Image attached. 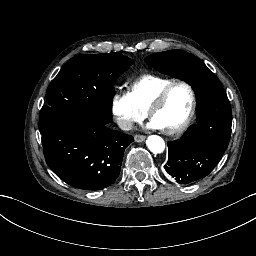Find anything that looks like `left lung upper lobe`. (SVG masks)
Segmentation results:
<instances>
[{
	"label": "left lung upper lobe",
	"mask_w": 256,
	"mask_h": 256,
	"mask_svg": "<svg viewBox=\"0 0 256 256\" xmlns=\"http://www.w3.org/2000/svg\"><path fill=\"white\" fill-rule=\"evenodd\" d=\"M145 62L159 72L189 83L197 98L198 123L179 140L169 141L165 169L175 175L207 176L218 164L231 135L232 114L227 95L213 72L182 50L155 53Z\"/></svg>",
	"instance_id": "1"
}]
</instances>
